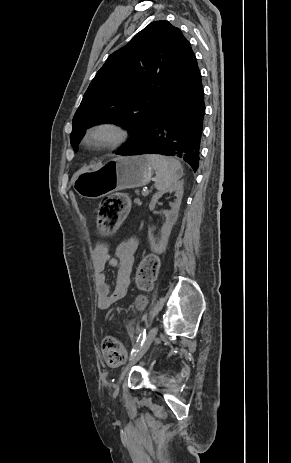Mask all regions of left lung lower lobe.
<instances>
[{
	"instance_id": "1",
	"label": "left lung lower lobe",
	"mask_w": 291,
	"mask_h": 463,
	"mask_svg": "<svg viewBox=\"0 0 291 463\" xmlns=\"http://www.w3.org/2000/svg\"><path fill=\"white\" fill-rule=\"evenodd\" d=\"M204 114V92L198 70L166 101L158 117L138 142L119 155L175 156L196 171L200 160Z\"/></svg>"
}]
</instances>
